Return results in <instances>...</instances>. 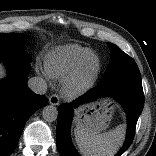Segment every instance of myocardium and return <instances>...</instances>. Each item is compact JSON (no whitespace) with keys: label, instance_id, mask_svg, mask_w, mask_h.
I'll return each instance as SVG.
<instances>
[{"label":"myocardium","instance_id":"myocardium-1","mask_svg":"<svg viewBox=\"0 0 156 156\" xmlns=\"http://www.w3.org/2000/svg\"><path fill=\"white\" fill-rule=\"evenodd\" d=\"M93 59L95 61V68L89 79H82L83 70L88 62V58H86L79 62L75 70L63 81L61 90L65 98H78L95 86L101 75V61L99 58Z\"/></svg>","mask_w":156,"mask_h":156}]
</instances>
